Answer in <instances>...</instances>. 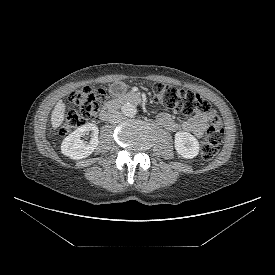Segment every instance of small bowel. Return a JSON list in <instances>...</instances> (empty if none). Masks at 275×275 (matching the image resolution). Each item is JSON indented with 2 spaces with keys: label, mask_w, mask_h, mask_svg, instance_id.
<instances>
[{
  "label": "small bowel",
  "mask_w": 275,
  "mask_h": 275,
  "mask_svg": "<svg viewBox=\"0 0 275 275\" xmlns=\"http://www.w3.org/2000/svg\"><path fill=\"white\" fill-rule=\"evenodd\" d=\"M124 88L122 82H115L110 86L109 91L112 95H119L124 91ZM214 116L215 113L213 111L198 113L179 124L175 122L169 114L162 113L158 116V122L169 131L182 129L200 137Z\"/></svg>",
  "instance_id": "small-bowel-1"
}]
</instances>
